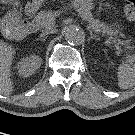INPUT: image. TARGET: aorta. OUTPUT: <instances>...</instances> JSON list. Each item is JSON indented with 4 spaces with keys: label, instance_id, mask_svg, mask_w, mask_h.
Instances as JSON below:
<instances>
[{
    "label": "aorta",
    "instance_id": "762f6f07",
    "mask_svg": "<svg viewBox=\"0 0 135 135\" xmlns=\"http://www.w3.org/2000/svg\"><path fill=\"white\" fill-rule=\"evenodd\" d=\"M65 40L73 45H79L84 40V32L76 26H67L64 30Z\"/></svg>",
    "mask_w": 135,
    "mask_h": 135
}]
</instances>
